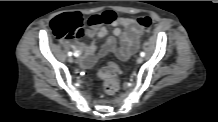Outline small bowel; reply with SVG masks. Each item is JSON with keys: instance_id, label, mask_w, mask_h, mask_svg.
<instances>
[{"instance_id": "c3829d8e", "label": "small bowel", "mask_w": 218, "mask_h": 122, "mask_svg": "<svg viewBox=\"0 0 218 122\" xmlns=\"http://www.w3.org/2000/svg\"><path fill=\"white\" fill-rule=\"evenodd\" d=\"M88 26L90 28L86 30V35L92 38L90 43L79 41L70 43V47L86 67L93 66L99 57L109 52L114 53L120 60H127L138 50L142 30L137 20L119 16L116 8H109L101 14H91L88 17ZM110 26L113 27V36L107 38L105 43L98 47V40L107 35L106 27ZM116 38H119V45Z\"/></svg>"}]
</instances>
